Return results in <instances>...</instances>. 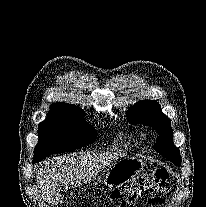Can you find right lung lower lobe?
<instances>
[{"label": "right lung lower lobe", "instance_id": "right-lung-lower-lobe-1", "mask_svg": "<svg viewBox=\"0 0 206 207\" xmlns=\"http://www.w3.org/2000/svg\"><path fill=\"white\" fill-rule=\"evenodd\" d=\"M42 159H40V158H34L33 159V161H32V163H37V162H39V161H41Z\"/></svg>", "mask_w": 206, "mask_h": 207}]
</instances>
